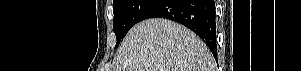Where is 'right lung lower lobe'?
I'll return each instance as SVG.
<instances>
[{
    "instance_id": "obj_1",
    "label": "right lung lower lobe",
    "mask_w": 301,
    "mask_h": 71,
    "mask_svg": "<svg viewBox=\"0 0 301 71\" xmlns=\"http://www.w3.org/2000/svg\"><path fill=\"white\" fill-rule=\"evenodd\" d=\"M161 17L178 22L195 32L217 59L214 0H155L140 21Z\"/></svg>"
}]
</instances>
